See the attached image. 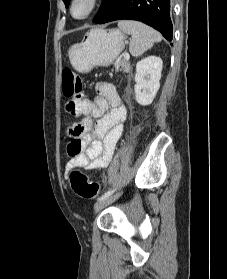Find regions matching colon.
<instances>
[{
	"label": "colon",
	"mask_w": 227,
	"mask_h": 279,
	"mask_svg": "<svg viewBox=\"0 0 227 279\" xmlns=\"http://www.w3.org/2000/svg\"><path fill=\"white\" fill-rule=\"evenodd\" d=\"M63 75V94L66 98V111L69 114H75L79 106L80 94L82 90V81L80 77L73 71L65 69ZM71 134L76 135L78 131L69 129ZM80 151L79 143H71L68 146V153L76 156ZM70 182L74 192L83 199H92L99 193V185L92 181L85 173L79 170H73L70 173Z\"/></svg>",
	"instance_id": "5ec220e1"
}]
</instances>
